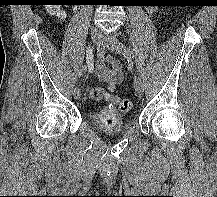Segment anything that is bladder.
Masks as SVG:
<instances>
[{"label":"bladder","mask_w":217,"mask_h":197,"mask_svg":"<svg viewBox=\"0 0 217 197\" xmlns=\"http://www.w3.org/2000/svg\"><path fill=\"white\" fill-rule=\"evenodd\" d=\"M91 119L94 126L106 134L121 133L127 129L125 118L117 112L98 111L92 115Z\"/></svg>","instance_id":"bladder-1"}]
</instances>
